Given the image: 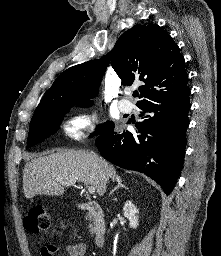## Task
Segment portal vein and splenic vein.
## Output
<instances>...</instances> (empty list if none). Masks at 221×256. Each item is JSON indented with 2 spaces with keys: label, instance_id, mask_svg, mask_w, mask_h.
<instances>
[{
  "label": "portal vein and splenic vein",
  "instance_id": "obj_1",
  "mask_svg": "<svg viewBox=\"0 0 221 256\" xmlns=\"http://www.w3.org/2000/svg\"><path fill=\"white\" fill-rule=\"evenodd\" d=\"M76 182H77L76 180H71V181H65V182H61V183H62V185H65V186H71V185L75 184ZM86 187H87L88 192L90 194H94L95 193V188L93 186H87L86 185Z\"/></svg>",
  "mask_w": 221,
  "mask_h": 256
}]
</instances>
